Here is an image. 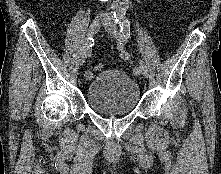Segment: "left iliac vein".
<instances>
[{
    "instance_id": "4c4485c4",
    "label": "left iliac vein",
    "mask_w": 221,
    "mask_h": 174,
    "mask_svg": "<svg viewBox=\"0 0 221 174\" xmlns=\"http://www.w3.org/2000/svg\"><path fill=\"white\" fill-rule=\"evenodd\" d=\"M105 30L110 33L117 41L121 43L126 42V38L123 36L120 30L111 22H107L105 24ZM139 71L145 78H148V69L142 60L139 61Z\"/></svg>"
}]
</instances>
